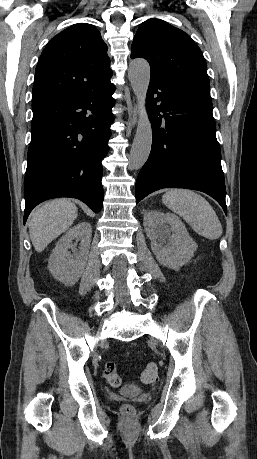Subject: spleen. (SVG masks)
<instances>
[{
  "label": "spleen",
  "instance_id": "spleen-1",
  "mask_svg": "<svg viewBox=\"0 0 257 459\" xmlns=\"http://www.w3.org/2000/svg\"><path fill=\"white\" fill-rule=\"evenodd\" d=\"M163 203L181 216L199 235L218 239L222 226L209 202L201 195L186 189H172L162 196Z\"/></svg>",
  "mask_w": 257,
  "mask_h": 459
}]
</instances>
